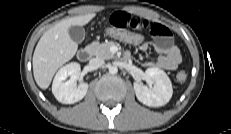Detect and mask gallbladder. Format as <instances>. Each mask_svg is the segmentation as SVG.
Returning a JSON list of instances; mask_svg holds the SVG:
<instances>
[{
  "label": "gallbladder",
  "mask_w": 231,
  "mask_h": 134,
  "mask_svg": "<svg viewBox=\"0 0 231 134\" xmlns=\"http://www.w3.org/2000/svg\"><path fill=\"white\" fill-rule=\"evenodd\" d=\"M71 39L76 43H81L85 38V30L81 26H71L68 30Z\"/></svg>",
  "instance_id": "gallbladder-1"
}]
</instances>
